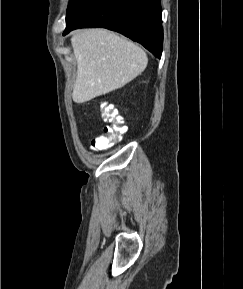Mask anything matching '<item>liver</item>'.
Instances as JSON below:
<instances>
[{
	"mask_svg": "<svg viewBox=\"0 0 243 289\" xmlns=\"http://www.w3.org/2000/svg\"><path fill=\"white\" fill-rule=\"evenodd\" d=\"M77 61L72 98L84 103L125 86L147 66L145 51L105 29H84L71 38Z\"/></svg>",
	"mask_w": 243,
	"mask_h": 289,
	"instance_id": "1",
	"label": "liver"
}]
</instances>
